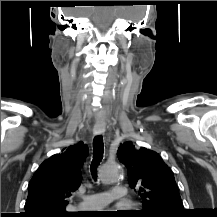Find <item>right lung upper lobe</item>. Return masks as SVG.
Segmentation results:
<instances>
[{
    "label": "right lung upper lobe",
    "mask_w": 217,
    "mask_h": 217,
    "mask_svg": "<svg viewBox=\"0 0 217 217\" xmlns=\"http://www.w3.org/2000/svg\"><path fill=\"white\" fill-rule=\"evenodd\" d=\"M87 153V146L80 142L44 161L29 183L23 217L72 215L65 208L81 184L79 172Z\"/></svg>",
    "instance_id": "obj_1"
}]
</instances>
